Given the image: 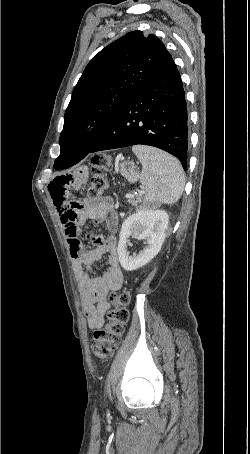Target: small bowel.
I'll return each instance as SVG.
<instances>
[{"label":"small bowel","instance_id":"c3829d8e","mask_svg":"<svg viewBox=\"0 0 250 454\" xmlns=\"http://www.w3.org/2000/svg\"><path fill=\"white\" fill-rule=\"evenodd\" d=\"M85 176H61L54 179L48 186L53 204L59 214L64 233L69 244L70 256L77 281L81 287L84 311L91 329L104 325L105 315L110 309L106 295L118 290L124 280L120 266L117 240L114 236L117 216L110 197L97 200H81L72 191L81 188ZM105 222L111 234L107 238L93 237L96 247L86 249L80 240V227L86 220ZM104 255L108 259V268L102 276L92 277L91 266Z\"/></svg>","mask_w":250,"mask_h":454}]
</instances>
